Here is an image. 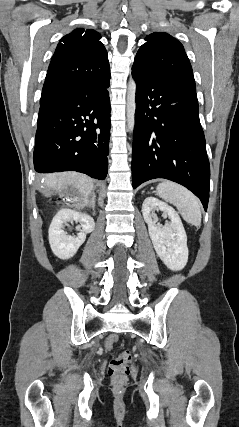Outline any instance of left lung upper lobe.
<instances>
[{
  "label": "left lung upper lobe",
  "instance_id": "5c2ea615",
  "mask_svg": "<svg viewBox=\"0 0 239 427\" xmlns=\"http://www.w3.org/2000/svg\"><path fill=\"white\" fill-rule=\"evenodd\" d=\"M142 71L167 79L196 91L189 59L182 44L164 32L146 37L137 52L134 64Z\"/></svg>",
  "mask_w": 239,
  "mask_h": 427
}]
</instances>
